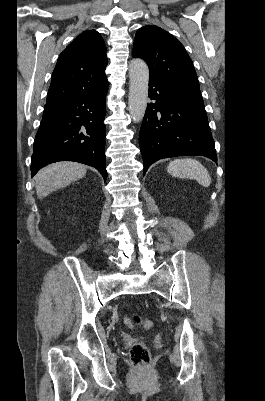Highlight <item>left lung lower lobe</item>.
Wrapping results in <instances>:
<instances>
[{"mask_svg":"<svg viewBox=\"0 0 265 401\" xmlns=\"http://www.w3.org/2000/svg\"><path fill=\"white\" fill-rule=\"evenodd\" d=\"M149 90L155 103L147 106L139 134L143 175L163 158L199 155L217 162L200 89L149 80Z\"/></svg>","mask_w":265,"mask_h":401,"instance_id":"obj_1","label":"left lung lower lobe"}]
</instances>
